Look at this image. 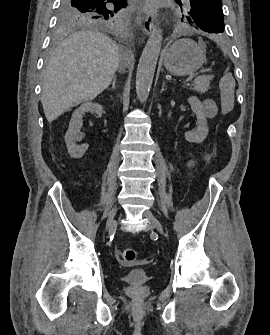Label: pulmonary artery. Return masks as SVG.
<instances>
[{
    "mask_svg": "<svg viewBox=\"0 0 270 335\" xmlns=\"http://www.w3.org/2000/svg\"><path fill=\"white\" fill-rule=\"evenodd\" d=\"M185 5H188L190 3V0H183Z\"/></svg>",
    "mask_w": 270,
    "mask_h": 335,
    "instance_id": "e3ab8cb5",
    "label": "pulmonary artery"
}]
</instances>
